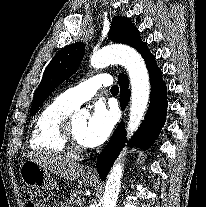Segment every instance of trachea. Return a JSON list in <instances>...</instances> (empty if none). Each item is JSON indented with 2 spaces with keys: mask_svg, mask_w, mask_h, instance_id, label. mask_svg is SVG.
<instances>
[{
  "mask_svg": "<svg viewBox=\"0 0 206 207\" xmlns=\"http://www.w3.org/2000/svg\"><path fill=\"white\" fill-rule=\"evenodd\" d=\"M111 92L112 93H118L119 92V87L117 85H114L111 87Z\"/></svg>",
  "mask_w": 206,
  "mask_h": 207,
  "instance_id": "1",
  "label": "trachea"
}]
</instances>
